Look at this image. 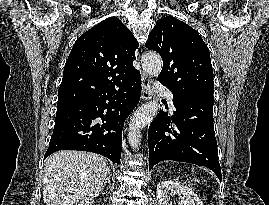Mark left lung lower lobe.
I'll use <instances>...</instances> for the list:
<instances>
[{
    "label": "left lung lower lobe",
    "instance_id": "0a47b994",
    "mask_svg": "<svg viewBox=\"0 0 269 205\" xmlns=\"http://www.w3.org/2000/svg\"><path fill=\"white\" fill-rule=\"evenodd\" d=\"M172 117L160 111L148 132L149 169L164 160L206 166L221 180L213 126L214 98L173 94Z\"/></svg>",
    "mask_w": 269,
    "mask_h": 205
}]
</instances>
